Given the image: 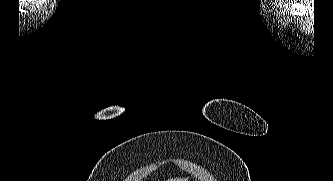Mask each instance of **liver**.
Instances as JSON below:
<instances>
[{
  "instance_id": "6515ba94",
  "label": "liver",
  "mask_w": 333,
  "mask_h": 181,
  "mask_svg": "<svg viewBox=\"0 0 333 181\" xmlns=\"http://www.w3.org/2000/svg\"><path fill=\"white\" fill-rule=\"evenodd\" d=\"M167 181H187L186 178H169Z\"/></svg>"
}]
</instances>
